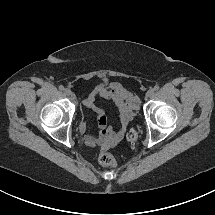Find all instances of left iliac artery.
Masks as SVG:
<instances>
[{
  "label": "left iliac artery",
  "mask_w": 215,
  "mask_h": 215,
  "mask_svg": "<svg viewBox=\"0 0 215 215\" xmlns=\"http://www.w3.org/2000/svg\"><path fill=\"white\" fill-rule=\"evenodd\" d=\"M153 89H154V91H158L159 90V86L155 85Z\"/></svg>",
  "instance_id": "1"
}]
</instances>
